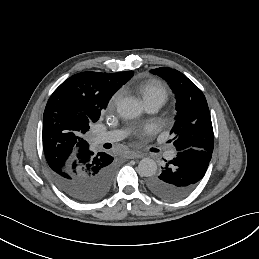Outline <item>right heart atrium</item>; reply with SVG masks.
Returning a JSON list of instances; mask_svg holds the SVG:
<instances>
[{"instance_id": "1", "label": "right heart atrium", "mask_w": 259, "mask_h": 259, "mask_svg": "<svg viewBox=\"0 0 259 259\" xmlns=\"http://www.w3.org/2000/svg\"><path fill=\"white\" fill-rule=\"evenodd\" d=\"M120 97H121L120 93H119V92H116V93L113 95V97H112V102H113V104H117V103L119 102V100H120Z\"/></svg>"}]
</instances>
